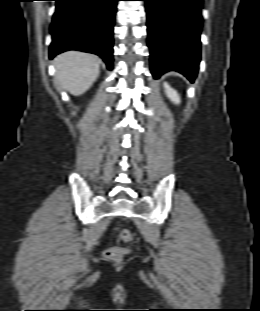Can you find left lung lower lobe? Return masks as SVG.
<instances>
[{"instance_id":"1","label":"left lung lower lobe","mask_w":260,"mask_h":311,"mask_svg":"<svg viewBox=\"0 0 260 311\" xmlns=\"http://www.w3.org/2000/svg\"><path fill=\"white\" fill-rule=\"evenodd\" d=\"M146 2L150 66L155 79L174 70L191 82L198 72L202 0Z\"/></svg>"}]
</instances>
